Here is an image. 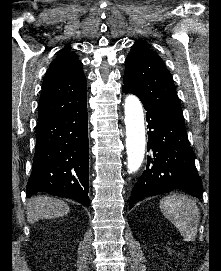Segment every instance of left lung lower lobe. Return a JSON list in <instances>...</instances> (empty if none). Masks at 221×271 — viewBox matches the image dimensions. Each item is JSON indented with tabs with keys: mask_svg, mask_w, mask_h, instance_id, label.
<instances>
[{
	"mask_svg": "<svg viewBox=\"0 0 221 271\" xmlns=\"http://www.w3.org/2000/svg\"><path fill=\"white\" fill-rule=\"evenodd\" d=\"M124 93H132L122 87ZM148 122V151H152L146 170L135 184L130 197L131 209L139 200L153 195L183 190L200 197L202 183L194 163L185 124L163 115L142 102Z\"/></svg>",
	"mask_w": 221,
	"mask_h": 271,
	"instance_id": "0a47b994",
	"label": "left lung lower lobe"
}]
</instances>
